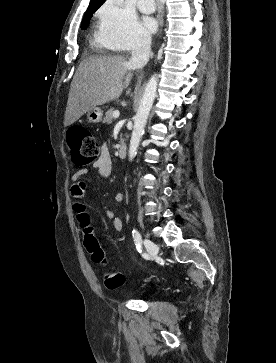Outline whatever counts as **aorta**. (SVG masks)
I'll return each instance as SVG.
<instances>
[{
    "instance_id": "obj_1",
    "label": "aorta",
    "mask_w": 276,
    "mask_h": 363,
    "mask_svg": "<svg viewBox=\"0 0 276 363\" xmlns=\"http://www.w3.org/2000/svg\"><path fill=\"white\" fill-rule=\"evenodd\" d=\"M158 85L157 75H153L145 86L143 97L141 99L137 114L134 120V128L130 140L129 159L132 161L136 156L141 137L148 119L149 112L152 108Z\"/></svg>"
}]
</instances>
